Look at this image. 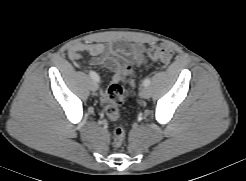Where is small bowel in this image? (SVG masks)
<instances>
[{
	"label": "small bowel",
	"mask_w": 246,
	"mask_h": 181,
	"mask_svg": "<svg viewBox=\"0 0 246 181\" xmlns=\"http://www.w3.org/2000/svg\"><path fill=\"white\" fill-rule=\"evenodd\" d=\"M142 49L141 45L128 44L119 47L104 43H77L69 48V58L76 65L81 59L82 53L92 56L91 64L109 69L112 73V82L120 83L124 80L125 65L133 58L137 57ZM103 91H101V101Z\"/></svg>",
	"instance_id": "obj_1"
}]
</instances>
